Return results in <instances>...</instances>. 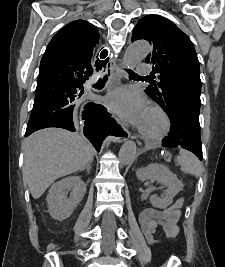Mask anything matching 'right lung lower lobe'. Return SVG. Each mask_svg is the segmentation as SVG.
Here are the masks:
<instances>
[{
  "label": "right lung lower lobe",
  "instance_id": "right-lung-lower-lobe-1",
  "mask_svg": "<svg viewBox=\"0 0 225 267\" xmlns=\"http://www.w3.org/2000/svg\"><path fill=\"white\" fill-rule=\"evenodd\" d=\"M93 70L88 59L82 54L45 52L41 59L34 105L25 137L48 127L75 131L73 112L80 105L79 97L84 93L83 83ZM105 81L106 78L93 87H101ZM89 104L93 105V120L88 123L86 118L84 134L99 151L108 126L115 121L103 106Z\"/></svg>",
  "mask_w": 225,
  "mask_h": 267
}]
</instances>
